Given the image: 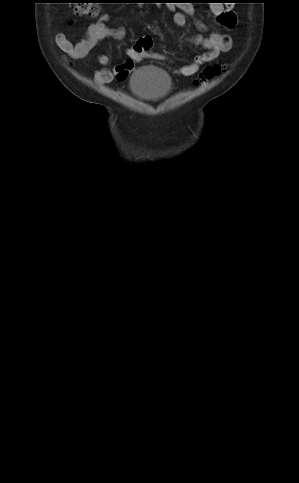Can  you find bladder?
Listing matches in <instances>:
<instances>
[{"mask_svg":"<svg viewBox=\"0 0 299 483\" xmlns=\"http://www.w3.org/2000/svg\"><path fill=\"white\" fill-rule=\"evenodd\" d=\"M133 94L141 99H154L170 92L172 82L161 69L153 66L136 70L130 79Z\"/></svg>","mask_w":299,"mask_h":483,"instance_id":"1","label":"bladder"}]
</instances>
